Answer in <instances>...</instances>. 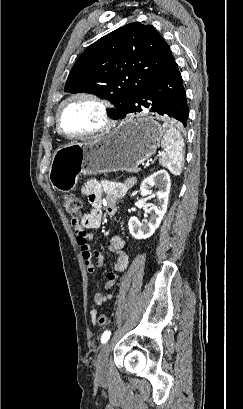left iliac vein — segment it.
I'll list each match as a JSON object with an SVG mask.
<instances>
[{
    "instance_id": "left-iliac-vein-1",
    "label": "left iliac vein",
    "mask_w": 243,
    "mask_h": 409,
    "mask_svg": "<svg viewBox=\"0 0 243 409\" xmlns=\"http://www.w3.org/2000/svg\"><path fill=\"white\" fill-rule=\"evenodd\" d=\"M109 351H110V344L106 343L97 358V363H96V375L98 379H104L107 374H108V357H109Z\"/></svg>"
}]
</instances>
